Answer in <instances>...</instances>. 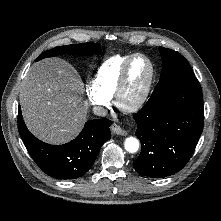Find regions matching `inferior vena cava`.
<instances>
[{"instance_id":"1","label":"inferior vena cava","mask_w":221,"mask_h":221,"mask_svg":"<svg viewBox=\"0 0 221 221\" xmlns=\"http://www.w3.org/2000/svg\"><path fill=\"white\" fill-rule=\"evenodd\" d=\"M93 112H94V114L97 115V116H102V117H104V116L107 115V110H106L105 108L99 107V106H95V107L93 108Z\"/></svg>"}]
</instances>
